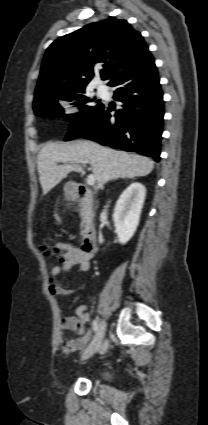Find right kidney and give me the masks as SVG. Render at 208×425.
Here are the masks:
<instances>
[{"label": "right kidney", "mask_w": 208, "mask_h": 425, "mask_svg": "<svg viewBox=\"0 0 208 425\" xmlns=\"http://www.w3.org/2000/svg\"><path fill=\"white\" fill-rule=\"evenodd\" d=\"M145 196V186L139 182H133L117 200L113 220L119 243L126 244L133 237L139 224Z\"/></svg>", "instance_id": "1"}]
</instances>
